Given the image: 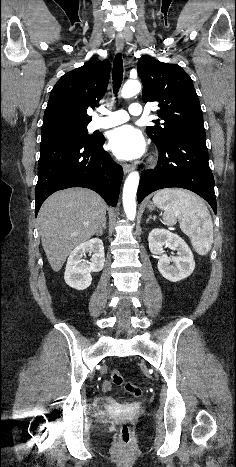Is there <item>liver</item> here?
I'll use <instances>...</instances> for the list:
<instances>
[{"mask_svg":"<svg viewBox=\"0 0 236 467\" xmlns=\"http://www.w3.org/2000/svg\"><path fill=\"white\" fill-rule=\"evenodd\" d=\"M106 218V203L96 192L69 188L52 194L38 213L42 246L58 272L77 246L97 233Z\"/></svg>","mask_w":236,"mask_h":467,"instance_id":"6515ba94","label":"liver"}]
</instances>
